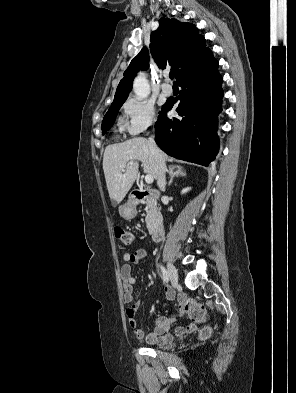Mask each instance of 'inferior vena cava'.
<instances>
[{"instance_id":"inferior-vena-cava-1","label":"inferior vena cava","mask_w":296,"mask_h":393,"mask_svg":"<svg viewBox=\"0 0 296 393\" xmlns=\"http://www.w3.org/2000/svg\"><path fill=\"white\" fill-rule=\"evenodd\" d=\"M149 147L151 152L153 153L157 166H158V181L157 185L158 187L162 190L165 191V186H166V177H165V172H166V165H165V160L164 157L161 153V151L158 149L154 138L150 137L149 140Z\"/></svg>"}]
</instances>
